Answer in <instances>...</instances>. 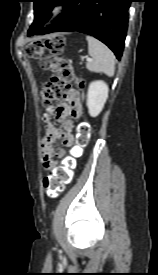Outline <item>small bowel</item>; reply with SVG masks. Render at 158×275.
<instances>
[{"label":"small bowel","instance_id":"obj_1","mask_svg":"<svg viewBox=\"0 0 158 275\" xmlns=\"http://www.w3.org/2000/svg\"><path fill=\"white\" fill-rule=\"evenodd\" d=\"M82 114L80 94L76 90H71L66 96V102L57 107L47 108L42 120L45 127V135L41 139V160L45 170L52 169L57 160L66 156V150L62 147L55 148L54 144L58 139L62 140L65 147L74 144L73 119H78ZM56 120L62 124V129H57L53 123Z\"/></svg>","mask_w":158,"mask_h":275}]
</instances>
